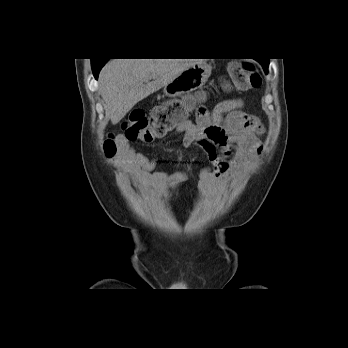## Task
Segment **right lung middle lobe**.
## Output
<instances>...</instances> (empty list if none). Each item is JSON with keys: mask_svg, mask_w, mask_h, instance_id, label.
<instances>
[{"mask_svg": "<svg viewBox=\"0 0 348 348\" xmlns=\"http://www.w3.org/2000/svg\"><path fill=\"white\" fill-rule=\"evenodd\" d=\"M104 60H108V59H92V64L94 63H101L103 62ZM106 63V61H104V64Z\"/></svg>", "mask_w": 348, "mask_h": 348, "instance_id": "right-lung-middle-lobe-1", "label": "right lung middle lobe"}]
</instances>
